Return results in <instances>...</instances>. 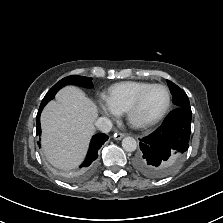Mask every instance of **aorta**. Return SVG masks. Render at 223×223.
I'll list each match as a JSON object with an SVG mask.
<instances>
[{
	"label": "aorta",
	"instance_id": "1",
	"mask_svg": "<svg viewBox=\"0 0 223 223\" xmlns=\"http://www.w3.org/2000/svg\"><path fill=\"white\" fill-rule=\"evenodd\" d=\"M122 147L127 152H133L137 148V142L133 137H125L122 140Z\"/></svg>",
	"mask_w": 223,
	"mask_h": 223
}]
</instances>
